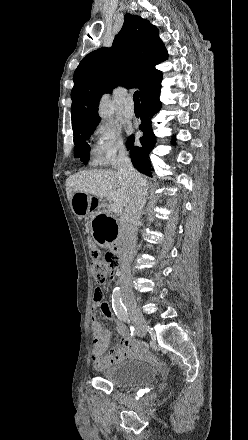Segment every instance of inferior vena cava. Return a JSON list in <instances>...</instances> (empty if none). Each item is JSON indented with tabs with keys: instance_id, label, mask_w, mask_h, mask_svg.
<instances>
[{
	"instance_id": "inferior-vena-cava-1",
	"label": "inferior vena cava",
	"mask_w": 248,
	"mask_h": 440,
	"mask_svg": "<svg viewBox=\"0 0 248 440\" xmlns=\"http://www.w3.org/2000/svg\"><path fill=\"white\" fill-rule=\"evenodd\" d=\"M118 174L128 177L135 187L134 196L120 218L122 248L119 256L121 268V284L130 279V263L135 253L137 241V223L146 203L147 184L143 176L133 167L126 152L119 154L117 162Z\"/></svg>"
}]
</instances>
